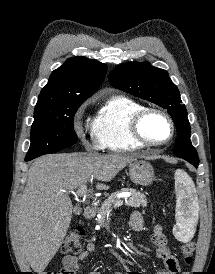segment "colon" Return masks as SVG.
Returning <instances> with one entry per match:
<instances>
[{"label": "colon", "mask_w": 215, "mask_h": 274, "mask_svg": "<svg viewBox=\"0 0 215 274\" xmlns=\"http://www.w3.org/2000/svg\"><path fill=\"white\" fill-rule=\"evenodd\" d=\"M84 235V230L81 227H76L72 229L64 240L62 245V250L64 252L76 253L80 251L82 247V236ZM194 252V244L186 243L182 246V253L184 255L186 263L190 264L192 261V254ZM44 274H67L63 269L55 272H46Z\"/></svg>", "instance_id": "1"}]
</instances>
